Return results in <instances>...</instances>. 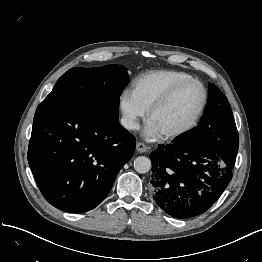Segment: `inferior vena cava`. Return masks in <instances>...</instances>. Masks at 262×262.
I'll return each mask as SVG.
<instances>
[{"mask_svg": "<svg viewBox=\"0 0 262 262\" xmlns=\"http://www.w3.org/2000/svg\"><path fill=\"white\" fill-rule=\"evenodd\" d=\"M121 125L126 129H138L139 124L136 122V120L129 116H124L121 118Z\"/></svg>", "mask_w": 262, "mask_h": 262, "instance_id": "1", "label": "inferior vena cava"}]
</instances>
